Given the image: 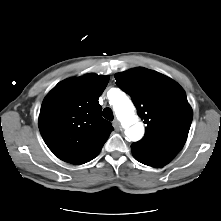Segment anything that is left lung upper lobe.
Here are the masks:
<instances>
[{"label":"left lung upper lobe","mask_w":221,"mask_h":221,"mask_svg":"<svg viewBox=\"0 0 221 221\" xmlns=\"http://www.w3.org/2000/svg\"><path fill=\"white\" fill-rule=\"evenodd\" d=\"M115 79L147 124L142 140L131 146L168 164L184 146L193 118L185 91L169 77L145 68L117 73Z\"/></svg>","instance_id":"obj_1"}]
</instances>
